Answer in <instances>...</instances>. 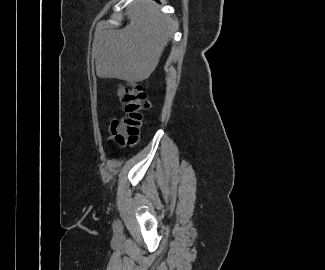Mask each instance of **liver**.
Listing matches in <instances>:
<instances>
[{"mask_svg":"<svg viewBox=\"0 0 325 270\" xmlns=\"http://www.w3.org/2000/svg\"><path fill=\"white\" fill-rule=\"evenodd\" d=\"M123 29L95 33L92 57L99 78L127 82L146 80L167 46L173 21L158 13L152 0H137Z\"/></svg>","mask_w":325,"mask_h":270,"instance_id":"obj_1","label":"liver"}]
</instances>
